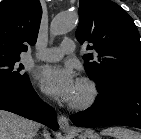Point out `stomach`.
Segmentation results:
<instances>
[{
  "label": "stomach",
  "mask_w": 141,
  "mask_h": 139,
  "mask_svg": "<svg viewBox=\"0 0 141 139\" xmlns=\"http://www.w3.org/2000/svg\"><path fill=\"white\" fill-rule=\"evenodd\" d=\"M77 139H101V137L94 130H85L81 132Z\"/></svg>",
  "instance_id": "0dacf381"
}]
</instances>
